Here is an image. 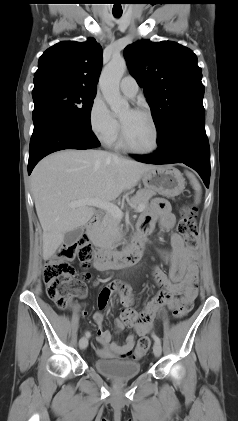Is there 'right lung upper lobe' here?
<instances>
[{
  "label": "right lung upper lobe",
  "mask_w": 238,
  "mask_h": 421,
  "mask_svg": "<svg viewBox=\"0 0 238 421\" xmlns=\"http://www.w3.org/2000/svg\"><path fill=\"white\" fill-rule=\"evenodd\" d=\"M102 48L93 39L63 41L47 49L38 61L34 87L47 83L96 91L102 67Z\"/></svg>",
  "instance_id": "obj_1"
}]
</instances>
